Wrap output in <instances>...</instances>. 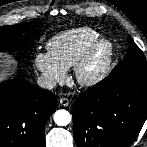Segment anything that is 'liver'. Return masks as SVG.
<instances>
[{"label":"liver","instance_id":"liver-1","mask_svg":"<svg viewBox=\"0 0 147 147\" xmlns=\"http://www.w3.org/2000/svg\"><path fill=\"white\" fill-rule=\"evenodd\" d=\"M14 67L11 58L3 53H0V80L11 75Z\"/></svg>","mask_w":147,"mask_h":147}]
</instances>
